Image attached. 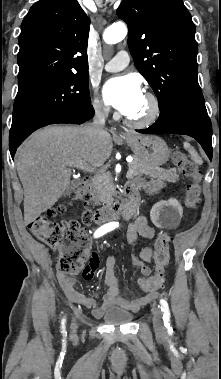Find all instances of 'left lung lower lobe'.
Masks as SVG:
<instances>
[{
  "instance_id": "1",
  "label": "left lung lower lobe",
  "mask_w": 221,
  "mask_h": 379,
  "mask_svg": "<svg viewBox=\"0 0 221 379\" xmlns=\"http://www.w3.org/2000/svg\"><path fill=\"white\" fill-rule=\"evenodd\" d=\"M143 134H184L195 138L208 157L212 158V126L206 109L182 104H169L160 110L158 120L149 128L137 130Z\"/></svg>"
}]
</instances>
